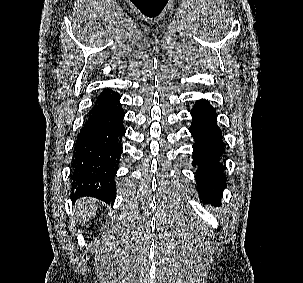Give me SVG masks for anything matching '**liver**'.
<instances>
[{
	"label": "liver",
	"mask_w": 303,
	"mask_h": 283,
	"mask_svg": "<svg viewBox=\"0 0 303 283\" xmlns=\"http://www.w3.org/2000/svg\"><path fill=\"white\" fill-rule=\"evenodd\" d=\"M94 204V199H87L86 201L79 200L76 212L80 216V221L82 220V222H85L86 218L88 220L90 215L94 216L96 214V207Z\"/></svg>",
	"instance_id": "obj_1"
}]
</instances>
